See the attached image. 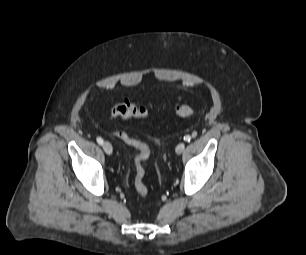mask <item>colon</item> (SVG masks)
<instances>
[{
    "label": "colon",
    "mask_w": 306,
    "mask_h": 255,
    "mask_svg": "<svg viewBox=\"0 0 306 255\" xmlns=\"http://www.w3.org/2000/svg\"><path fill=\"white\" fill-rule=\"evenodd\" d=\"M174 113L180 117H192L194 115V109L192 106L186 103H178L174 106ZM111 114L121 118H136L146 119L152 115V111L144 106H137L128 100H122L115 103L111 107ZM113 134L122 142L136 150L134 155V187L137 193L145 198L148 195V188L144 182L145 169L144 162L149 158L150 149L148 145L138 139L131 137L124 131L114 130Z\"/></svg>",
    "instance_id": "5ec220e1"
}]
</instances>
